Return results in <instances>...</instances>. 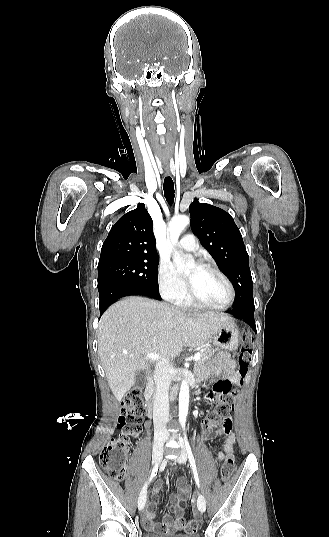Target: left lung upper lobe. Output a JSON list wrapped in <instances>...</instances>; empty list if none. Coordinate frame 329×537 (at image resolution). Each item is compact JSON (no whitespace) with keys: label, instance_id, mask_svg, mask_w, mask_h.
<instances>
[{"label":"left lung upper lobe","instance_id":"left-lung-upper-lobe-1","mask_svg":"<svg viewBox=\"0 0 329 537\" xmlns=\"http://www.w3.org/2000/svg\"><path fill=\"white\" fill-rule=\"evenodd\" d=\"M189 211L195 235L233 284L234 308L254 307L249 256L234 219L226 211L201 204L198 199L191 203Z\"/></svg>","mask_w":329,"mask_h":537}]
</instances>
